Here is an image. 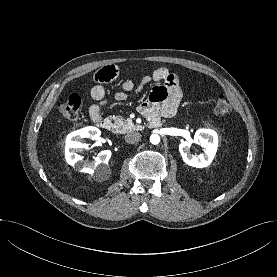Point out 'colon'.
I'll use <instances>...</instances> for the list:
<instances>
[{
  "label": "colon",
  "mask_w": 277,
  "mask_h": 277,
  "mask_svg": "<svg viewBox=\"0 0 277 277\" xmlns=\"http://www.w3.org/2000/svg\"><path fill=\"white\" fill-rule=\"evenodd\" d=\"M82 100L78 94H71L68 99L61 105L60 112L67 119L77 118ZM214 113L219 117H227L231 112V107L223 95L216 97L213 103Z\"/></svg>",
  "instance_id": "colon-1"
}]
</instances>
